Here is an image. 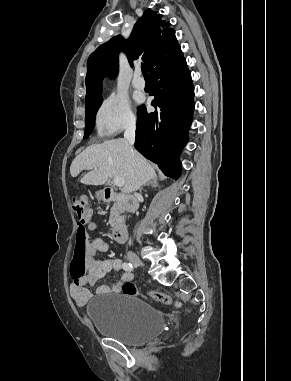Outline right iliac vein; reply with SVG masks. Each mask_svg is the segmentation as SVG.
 <instances>
[{
    "instance_id": "obj_1",
    "label": "right iliac vein",
    "mask_w": 291,
    "mask_h": 381,
    "mask_svg": "<svg viewBox=\"0 0 291 381\" xmlns=\"http://www.w3.org/2000/svg\"><path fill=\"white\" fill-rule=\"evenodd\" d=\"M128 260L136 267H144V263L135 254L128 255Z\"/></svg>"
}]
</instances>
